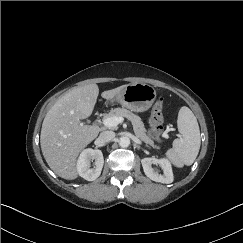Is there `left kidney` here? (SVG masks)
<instances>
[{"instance_id":"5707ae66","label":"left kidney","mask_w":243,"mask_h":243,"mask_svg":"<svg viewBox=\"0 0 243 243\" xmlns=\"http://www.w3.org/2000/svg\"><path fill=\"white\" fill-rule=\"evenodd\" d=\"M144 173L155 182L169 184L173 182V172L170 162L165 159L144 158L141 160ZM159 165L163 170V175L152 168V165Z\"/></svg>"}]
</instances>
